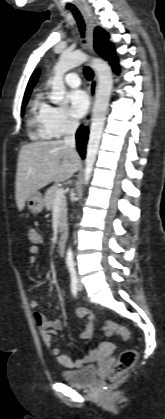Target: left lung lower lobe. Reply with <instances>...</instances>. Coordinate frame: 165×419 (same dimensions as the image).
<instances>
[{"mask_svg":"<svg viewBox=\"0 0 165 419\" xmlns=\"http://www.w3.org/2000/svg\"><path fill=\"white\" fill-rule=\"evenodd\" d=\"M110 64L113 67L114 72L118 73L119 72L118 59L115 57L113 60L110 61Z\"/></svg>","mask_w":165,"mask_h":419,"instance_id":"0a47b994","label":"left lung lower lobe"}]
</instances>
